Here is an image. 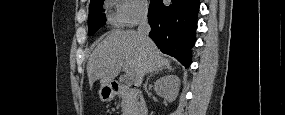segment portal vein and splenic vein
Segmentation results:
<instances>
[{
  "mask_svg": "<svg viewBox=\"0 0 285 115\" xmlns=\"http://www.w3.org/2000/svg\"><path fill=\"white\" fill-rule=\"evenodd\" d=\"M123 70L126 73V79L128 81L132 80L133 79V74H132V72L130 70H128V67L126 65H123Z\"/></svg>",
  "mask_w": 285,
  "mask_h": 115,
  "instance_id": "1",
  "label": "portal vein and splenic vein"
}]
</instances>
